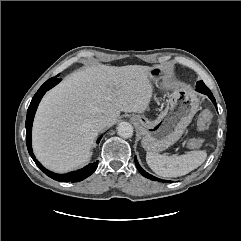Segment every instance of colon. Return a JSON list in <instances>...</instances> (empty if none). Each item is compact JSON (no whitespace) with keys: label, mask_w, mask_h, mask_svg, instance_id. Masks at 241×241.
I'll return each instance as SVG.
<instances>
[{"label":"colon","mask_w":241,"mask_h":241,"mask_svg":"<svg viewBox=\"0 0 241 241\" xmlns=\"http://www.w3.org/2000/svg\"><path fill=\"white\" fill-rule=\"evenodd\" d=\"M212 120V113L209 109H204L198 116L197 128L199 131H204L208 129ZM203 143L201 138H192L188 145L190 148H199Z\"/></svg>","instance_id":"obj_1"}]
</instances>
